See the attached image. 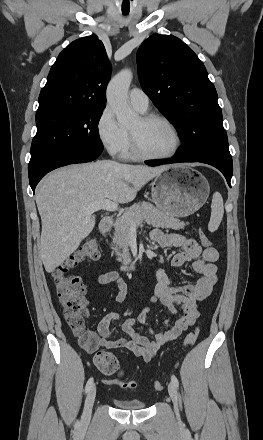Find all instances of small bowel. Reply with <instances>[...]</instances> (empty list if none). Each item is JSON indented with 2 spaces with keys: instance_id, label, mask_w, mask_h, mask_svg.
<instances>
[{
  "instance_id": "obj_1",
  "label": "small bowel",
  "mask_w": 263,
  "mask_h": 440,
  "mask_svg": "<svg viewBox=\"0 0 263 440\" xmlns=\"http://www.w3.org/2000/svg\"><path fill=\"white\" fill-rule=\"evenodd\" d=\"M150 239L161 248H179L180 251L173 256L171 265L175 270L190 262L192 269L200 274L193 284L174 286L172 279L162 267L156 271L155 292L150 298L149 304L144 306L136 317L123 318L119 312H110L98 323L94 333L95 341L87 349L95 352L98 349L124 348L131 351L136 357L149 362L159 349L166 343L177 339L183 331L192 326L200 315L199 304L212 291L217 281L218 251L214 247L201 246L193 239L178 233H163L154 229L150 233ZM99 285L115 284L118 293L115 297L118 303H123L128 296V286L117 271H107L96 277ZM155 303L164 305L170 313L178 318L172 322V318L164 321L165 332H157L148 323V314L151 306ZM121 321L123 331L127 337L111 339L110 324ZM141 324L148 335L141 334L135 328Z\"/></svg>"
}]
</instances>
